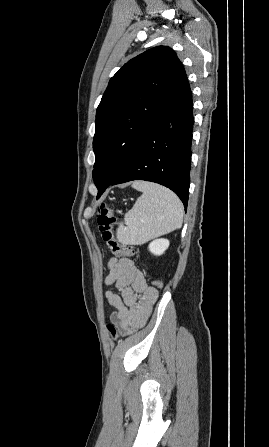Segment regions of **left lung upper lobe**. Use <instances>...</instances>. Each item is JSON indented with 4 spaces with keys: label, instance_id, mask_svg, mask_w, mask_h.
<instances>
[{
    "label": "left lung upper lobe",
    "instance_id": "left-lung-upper-lobe-1",
    "mask_svg": "<svg viewBox=\"0 0 269 447\" xmlns=\"http://www.w3.org/2000/svg\"><path fill=\"white\" fill-rule=\"evenodd\" d=\"M183 65L169 47L128 61L111 79L96 113L93 138L97 188L124 170L146 132L163 116Z\"/></svg>",
    "mask_w": 269,
    "mask_h": 447
}]
</instances>
